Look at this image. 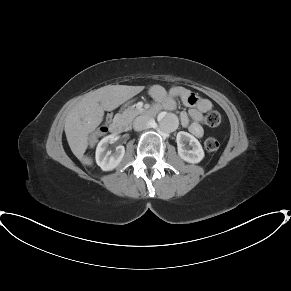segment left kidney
<instances>
[{"label": "left kidney", "instance_id": "obj_1", "mask_svg": "<svg viewBox=\"0 0 291 291\" xmlns=\"http://www.w3.org/2000/svg\"><path fill=\"white\" fill-rule=\"evenodd\" d=\"M178 155L188 163H199L204 158L200 142L191 134L180 131L176 137Z\"/></svg>", "mask_w": 291, "mask_h": 291}]
</instances>
